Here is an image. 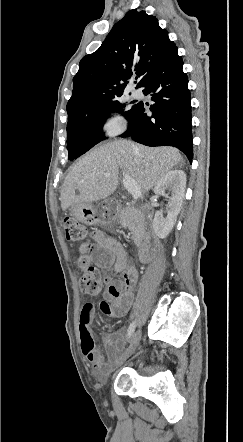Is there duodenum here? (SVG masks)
Wrapping results in <instances>:
<instances>
[{"mask_svg": "<svg viewBox=\"0 0 243 442\" xmlns=\"http://www.w3.org/2000/svg\"><path fill=\"white\" fill-rule=\"evenodd\" d=\"M138 219L142 226L143 241L138 250V259L142 263L150 261L157 245V237L154 232L153 223L150 217V209L142 205L139 210Z\"/></svg>", "mask_w": 243, "mask_h": 442, "instance_id": "duodenum-1", "label": "duodenum"}]
</instances>
